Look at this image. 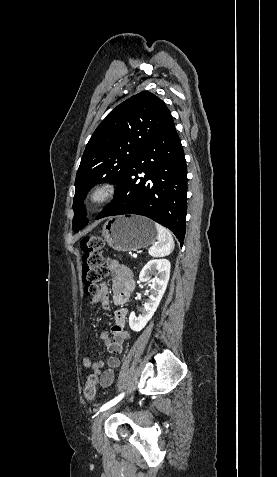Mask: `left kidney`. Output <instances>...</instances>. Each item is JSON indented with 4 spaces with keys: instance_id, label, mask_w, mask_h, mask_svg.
<instances>
[{
    "instance_id": "1",
    "label": "left kidney",
    "mask_w": 277,
    "mask_h": 477,
    "mask_svg": "<svg viewBox=\"0 0 277 477\" xmlns=\"http://www.w3.org/2000/svg\"><path fill=\"white\" fill-rule=\"evenodd\" d=\"M171 264L167 259L150 260L141 270L139 280L141 282L150 283V276L153 274L155 278L152 280L151 292L148 294V300L144 303L141 314L135 318L134 313L130 314L129 326L135 331H141L148 321L152 318L159 303L165 293L169 277Z\"/></svg>"
}]
</instances>
